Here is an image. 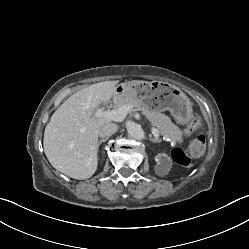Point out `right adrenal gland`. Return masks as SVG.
<instances>
[{
    "label": "right adrenal gland",
    "instance_id": "2a0ac1e0",
    "mask_svg": "<svg viewBox=\"0 0 249 249\" xmlns=\"http://www.w3.org/2000/svg\"><path fill=\"white\" fill-rule=\"evenodd\" d=\"M107 140H108V138L99 140L98 143H97V149H99V146H100L101 143H103V142H105Z\"/></svg>",
    "mask_w": 249,
    "mask_h": 249
}]
</instances>
